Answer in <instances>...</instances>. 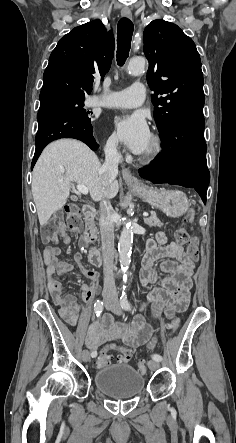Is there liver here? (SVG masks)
<instances>
[{
	"label": "liver",
	"instance_id": "obj_1",
	"mask_svg": "<svg viewBox=\"0 0 236 443\" xmlns=\"http://www.w3.org/2000/svg\"><path fill=\"white\" fill-rule=\"evenodd\" d=\"M101 163L84 143L61 139L49 144L39 157L32 179V194L41 226L67 202L73 182L87 187L94 201L112 199L119 191L114 180L105 184Z\"/></svg>",
	"mask_w": 236,
	"mask_h": 443
}]
</instances>
